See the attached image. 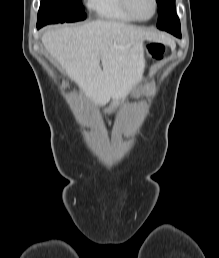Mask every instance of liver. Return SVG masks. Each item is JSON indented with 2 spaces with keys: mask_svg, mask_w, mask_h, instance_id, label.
<instances>
[{
  "mask_svg": "<svg viewBox=\"0 0 219 258\" xmlns=\"http://www.w3.org/2000/svg\"><path fill=\"white\" fill-rule=\"evenodd\" d=\"M41 40L49 54L95 105L125 97L138 82L143 69L144 40L171 43L163 35L103 20L48 29Z\"/></svg>",
  "mask_w": 219,
  "mask_h": 258,
  "instance_id": "obj_1",
  "label": "liver"
}]
</instances>
